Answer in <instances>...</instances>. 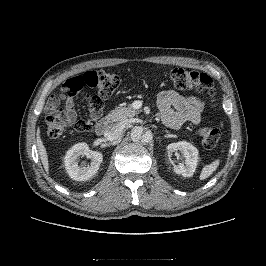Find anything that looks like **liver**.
Segmentation results:
<instances>
[{
	"label": "liver",
	"mask_w": 266,
	"mask_h": 266,
	"mask_svg": "<svg viewBox=\"0 0 266 266\" xmlns=\"http://www.w3.org/2000/svg\"><path fill=\"white\" fill-rule=\"evenodd\" d=\"M40 133H41L40 127H38V129H37V148H38L39 156H40L41 162L43 164V167H44L45 171L48 173L49 172L48 155H47L46 148L43 144V141L41 139Z\"/></svg>",
	"instance_id": "1"
}]
</instances>
